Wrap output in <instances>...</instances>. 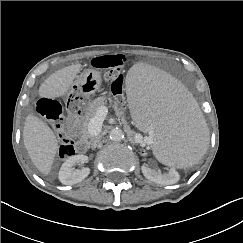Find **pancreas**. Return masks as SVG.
<instances>
[{
  "mask_svg": "<svg viewBox=\"0 0 243 243\" xmlns=\"http://www.w3.org/2000/svg\"><path fill=\"white\" fill-rule=\"evenodd\" d=\"M110 103H111V101H110ZM106 104H107V101H106L105 97H98L89 103L87 115L83 121L82 128H81V133L84 138L93 137V135L88 130L89 129L88 124H89L90 120L96 115L97 110ZM114 109H115L116 115L118 117L123 116V111L119 107L114 105Z\"/></svg>",
  "mask_w": 243,
  "mask_h": 243,
  "instance_id": "cf45deb5",
  "label": "pancreas"
}]
</instances>
